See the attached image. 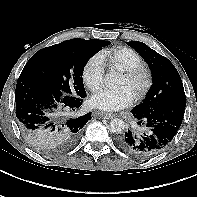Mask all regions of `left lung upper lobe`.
Returning a JSON list of instances; mask_svg holds the SVG:
<instances>
[{"instance_id":"left-lung-upper-lobe-1","label":"left lung upper lobe","mask_w":197,"mask_h":197,"mask_svg":"<svg viewBox=\"0 0 197 197\" xmlns=\"http://www.w3.org/2000/svg\"><path fill=\"white\" fill-rule=\"evenodd\" d=\"M127 45L133 47L148 63L153 82L145 99L134 109L148 112L164 101L186 98L180 75L169 59L142 42L131 41Z\"/></svg>"}]
</instances>
